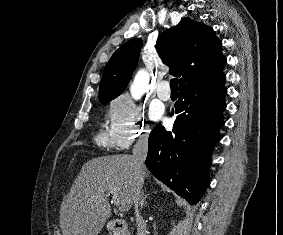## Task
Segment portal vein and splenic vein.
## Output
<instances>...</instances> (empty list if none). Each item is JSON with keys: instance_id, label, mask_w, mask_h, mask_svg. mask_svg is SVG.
<instances>
[{"instance_id": "1", "label": "portal vein and splenic vein", "mask_w": 283, "mask_h": 235, "mask_svg": "<svg viewBox=\"0 0 283 235\" xmlns=\"http://www.w3.org/2000/svg\"><path fill=\"white\" fill-rule=\"evenodd\" d=\"M109 194L112 195V201L115 206L119 207L120 206V197L117 193V189L115 187H110L109 188Z\"/></svg>"}]
</instances>
